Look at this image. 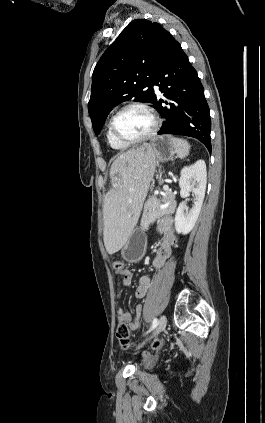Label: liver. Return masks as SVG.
Segmentation results:
<instances>
[{
  "mask_svg": "<svg viewBox=\"0 0 265 423\" xmlns=\"http://www.w3.org/2000/svg\"><path fill=\"white\" fill-rule=\"evenodd\" d=\"M155 167L156 156L147 143L120 154L113 162L112 189L106 194L103 206V240L109 254L124 246L136 226Z\"/></svg>",
  "mask_w": 265,
  "mask_h": 423,
  "instance_id": "liver-1",
  "label": "liver"
}]
</instances>
